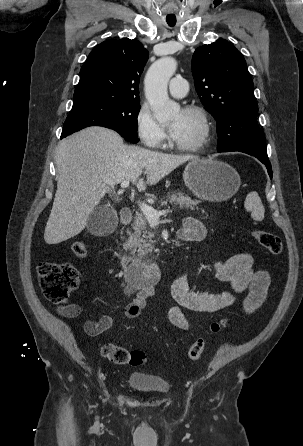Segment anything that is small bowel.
<instances>
[{
  "instance_id": "small-bowel-1",
  "label": "small bowel",
  "mask_w": 303,
  "mask_h": 446,
  "mask_svg": "<svg viewBox=\"0 0 303 446\" xmlns=\"http://www.w3.org/2000/svg\"><path fill=\"white\" fill-rule=\"evenodd\" d=\"M207 230L197 219L188 217L184 220L179 232L186 241L197 242L205 238ZM218 281L228 283L229 291L205 292L195 290L190 283V276L184 273L177 277L171 285V294L175 305L168 311V319L175 327L187 330L189 322L184 310L193 312H218L236 302L237 295L246 292L242 301V308L246 314L252 313L264 301L270 283V276L265 270L253 267V257L249 252L235 254L225 260H214L209 263ZM125 294L131 297L125 307L128 318H137L145 308L147 300L155 296L151 286L140 288L127 287ZM60 315L65 318H77L83 314V307L72 303L58 308ZM113 325L112 317L101 316L97 320H86L84 331L89 336H97L109 330Z\"/></svg>"
}]
</instances>
